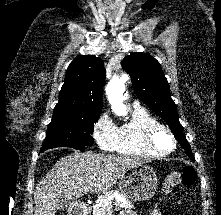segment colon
Returning a JSON list of instances; mask_svg holds the SVG:
<instances>
[{
    "label": "colon",
    "instance_id": "5ec220e1",
    "mask_svg": "<svg viewBox=\"0 0 221 215\" xmlns=\"http://www.w3.org/2000/svg\"><path fill=\"white\" fill-rule=\"evenodd\" d=\"M197 179V172L193 167L187 166L179 171L169 173L163 181V189L166 192L180 185H191Z\"/></svg>",
    "mask_w": 221,
    "mask_h": 215
}]
</instances>
